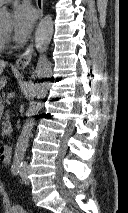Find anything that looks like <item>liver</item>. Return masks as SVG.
Masks as SVG:
<instances>
[{
	"mask_svg": "<svg viewBox=\"0 0 128 213\" xmlns=\"http://www.w3.org/2000/svg\"><path fill=\"white\" fill-rule=\"evenodd\" d=\"M6 64L7 63L5 61L0 60V75L2 74L3 70L5 69ZM5 84H6V78L3 77V78L0 79V90L3 89Z\"/></svg>",
	"mask_w": 128,
	"mask_h": 213,
	"instance_id": "1",
	"label": "liver"
}]
</instances>
